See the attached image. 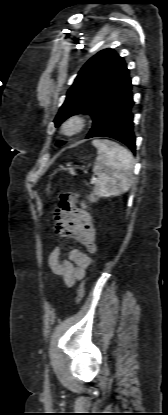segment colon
I'll list each match as a JSON object with an SVG mask.
<instances>
[{
  "label": "colon",
  "mask_w": 168,
  "mask_h": 415,
  "mask_svg": "<svg viewBox=\"0 0 168 415\" xmlns=\"http://www.w3.org/2000/svg\"><path fill=\"white\" fill-rule=\"evenodd\" d=\"M68 169H69V171L71 172V173H73V174H76V167H75V165H73V164H69L68 165ZM82 184L85 186V187H90L89 189V191H88V193L86 194V199L88 200V202H91V203H95L96 202V200L98 199V194L97 193H95V191L94 190H92L93 188H92V186L90 185V183H89V179L88 178H83L82 179ZM84 293H85V290H84V283L82 282L81 284H80V286H79V288H78V292H77V297H76V301H77V303H79L82 299H83V297H84Z\"/></svg>",
  "instance_id": "1"
}]
</instances>
